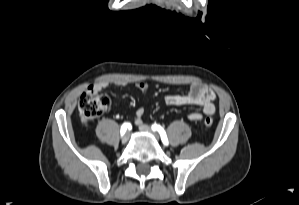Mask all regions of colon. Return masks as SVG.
<instances>
[{
    "label": "colon",
    "mask_w": 299,
    "mask_h": 205,
    "mask_svg": "<svg viewBox=\"0 0 299 205\" xmlns=\"http://www.w3.org/2000/svg\"><path fill=\"white\" fill-rule=\"evenodd\" d=\"M109 104L110 100L106 94L99 93L92 87L87 89L82 94L78 104L80 121L82 123H88L101 116L108 109ZM204 124L207 127H211L213 119L207 116L204 119Z\"/></svg>",
    "instance_id": "1"
}]
</instances>
